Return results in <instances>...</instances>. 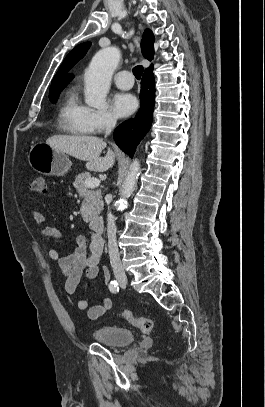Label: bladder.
<instances>
[{
  "mask_svg": "<svg viewBox=\"0 0 265 407\" xmlns=\"http://www.w3.org/2000/svg\"><path fill=\"white\" fill-rule=\"evenodd\" d=\"M92 336L98 343L114 347L129 345L135 339L132 330L118 326L97 328L92 332Z\"/></svg>",
  "mask_w": 265,
  "mask_h": 407,
  "instance_id": "1",
  "label": "bladder"
}]
</instances>
